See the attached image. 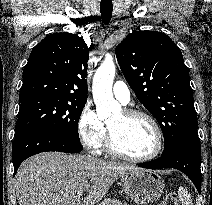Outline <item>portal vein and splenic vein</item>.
Instances as JSON below:
<instances>
[{"instance_id":"portal-vein-and-splenic-vein-1","label":"portal vein and splenic vein","mask_w":212,"mask_h":205,"mask_svg":"<svg viewBox=\"0 0 212 205\" xmlns=\"http://www.w3.org/2000/svg\"><path fill=\"white\" fill-rule=\"evenodd\" d=\"M82 193H83V191H82V190H79V191L77 192V197L80 198V197L82 196Z\"/></svg>"}]
</instances>
